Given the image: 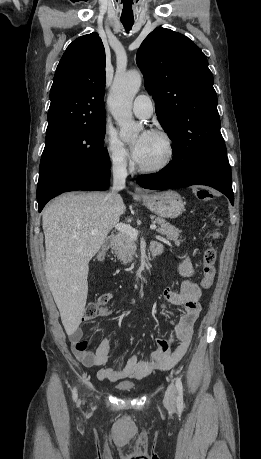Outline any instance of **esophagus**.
I'll return each mask as SVG.
<instances>
[{"label": "esophagus", "mask_w": 261, "mask_h": 459, "mask_svg": "<svg viewBox=\"0 0 261 459\" xmlns=\"http://www.w3.org/2000/svg\"><path fill=\"white\" fill-rule=\"evenodd\" d=\"M135 192L138 194V195H145L146 192L144 191V189H142L141 187L139 186H136L135 187Z\"/></svg>", "instance_id": "34e87169"}]
</instances>
